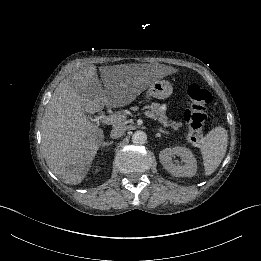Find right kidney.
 <instances>
[{
	"label": "right kidney",
	"mask_w": 261,
	"mask_h": 261,
	"mask_svg": "<svg viewBox=\"0 0 261 261\" xmlns=\"http://www.w3.org/2000/svg\"><path fill=\"white\" fill-rule=\"evenodd\" d=\"M98 171H99V169H96V170H95V172H98Z\"/></svg>",
	"instance_id": "1"
}]
</instances>
